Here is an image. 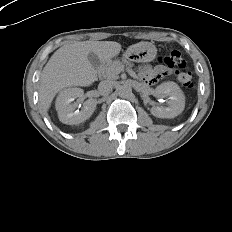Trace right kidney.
Instances as JSON below:
<instances>
[{
	"label": "right kidney",
	"mask_w": 232,
	"mask_h": 232,
	"mask_svg": "<svg viewBox=\"0 0 232 232\" xmlns=\"http://www.w3.org/2000/svg\"><path fill=\"white\" fill-rule=\"evenodd\" d=\"M84 91L80 88H68L62 90L56 98L55 107L59 120L68 125H77L89 119L96 109V101L88 99L84 102L81 111L76 110V104H71L75 98H80Z\"/></svg>",
	"instance_id": "right-kidney-1"
}]
</instances>
